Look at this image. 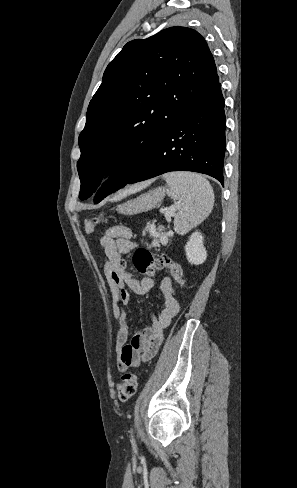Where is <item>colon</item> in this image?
<instances>
[{
    "instance_id": "1",
    "label": "colon",
    "mask_w": 297,
    "mask_h": 488,
    "mask_svg": "<svg viewBox=\"0 0 297 488\" xmlns=\"http://www.w3.org/2000/svg\"><path fill=\"white\" fill-rule=\"evenodd\" d=\"M105 221L103 214L94 216L85 223L86 231L92 233L96 225ZM133 263L136 270L148 276L167 269L171 272L179 285H184L182 269L178 263L163 255H154L146 249H138L133 255ZM120 267L125 269V262L121 260ZM137 375L133 372H126L117 384V395L120 401L126 402L131 399L137 390Z\"/></svg>"
}]
</instances>
